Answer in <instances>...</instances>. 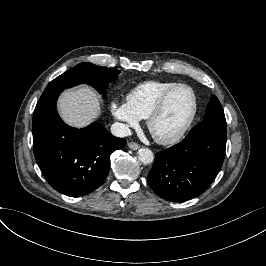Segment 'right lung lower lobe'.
Instances as JSON below:
<instances>
[{"instance_id":"right-lung-lower-lobe-1","label":"right lung lower lobe","mask_w":266,"mask_h":266,"mask_svg":"<svg viewBox=\"0 0 266 266\" xmlns=\"http://www.w3.org/2000/svg\"><path fill=\"white\" fill-rule=\"evenodd\" d=\"M63 90L43 94L33 114L34 154L45 179L58 192L78 197L96 190L110 169V154L126 145L100 123L76 129L56 110Z\"/></svg>"}]
</instances>
